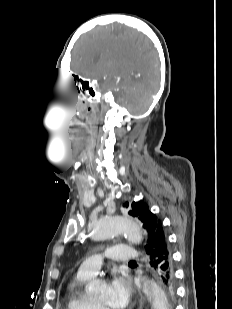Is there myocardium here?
<instances>
[{
  "mask_svg": "<svg viewBox=\"0 0 232 309\" xmlns=\"http://www.w3.org/2000/svg\"><path fill=\"white\" fill-rule=\"evenodd\" d=\"M94 302H95L98 309H110L108 306L101 304L96 299H94Z\"/></svg>",
  "mask_w": 232,
  "mask_h": 309,
  "instance_id": "1",
  "label": "myocardium"
}]
</instances>
